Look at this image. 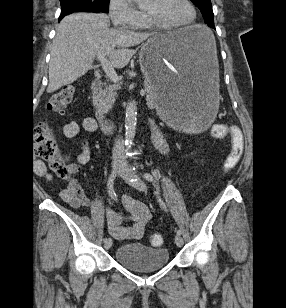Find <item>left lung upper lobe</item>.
Instances as JSON below:
<instances>
[{
	"instance_id": "5c2ea615",
	"label": "left lung upper lobe",
	"mask_w": 286,
	"mask_h": 308,
	"mask_svg": "<svg viewBox=\"0 0 286 308\" xmlns=\"http://www.w3.org/2000/svg\"><path fill=\"white\" fill-rule=\"evenodd\" d=\"M200 9L203 17L205 18V23L214 27V14L212 10L211 0H191Z\"/></svg>"
}]
</instances>
